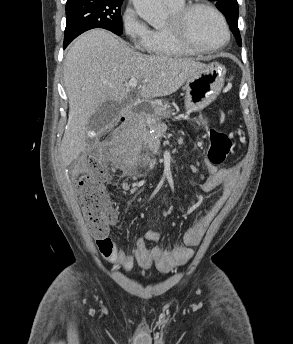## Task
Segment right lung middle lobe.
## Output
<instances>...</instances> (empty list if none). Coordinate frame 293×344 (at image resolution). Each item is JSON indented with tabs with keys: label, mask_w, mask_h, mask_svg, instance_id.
<instances>
[{
	"label": "right lung middle lobe",
	"mask_w": 293,
	"mask_h": 344,
	"mask_svg": "<svg viewBox=\"0 0 293 344\" xmlns=\"http://www.w3.org/2000/svg\"><path fill=\"white\" fill-rule=\"evenodd\" d=\"M123 0H80L66 4L64 48L81 33L93 29H107L122 34L121 6Z\"/></svg>",
	"instance_id": "right-lung-middle-lobe-1"
}]
</instances>
